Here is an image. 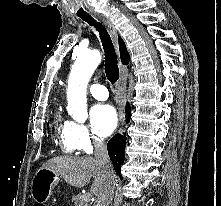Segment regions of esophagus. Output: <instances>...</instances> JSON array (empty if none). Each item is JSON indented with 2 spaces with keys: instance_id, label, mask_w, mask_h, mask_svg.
<instances>
[{
  "instance_id": "obj_1",
  "label": "esophagus",
  "mask_w": 221,
  "mask_h": 206,
  "mask_svg": "<svg viewBox=\"0 0 221 206\" xmlns=\"http://www.w3.org/2000/svg\"><path fill=\"white\" fill-rule=\"evenodd\" d=\"M98 18L104 23V25L107 27L113 43L115 45L116 50L118 51V33L115 27L113 26L112 22L110 19H108L105 16L98 15ZM126 68L123 65H120V78L117 84V89H118V94L121 100V103H123V99L125 96V91H126Z\"/></svg>"
}]
</instances>
